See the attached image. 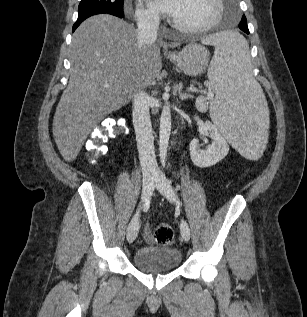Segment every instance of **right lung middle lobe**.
Here are the masks:
<instances>
[{"mask_svg":"<svg viewBox=\"0 0 307 317\" xmlns=\"http://www.w3.org/2000/svg\"><path fill=\"white\" fill-rule=\"evenodd\" d=\"M123 3L124 0H81L78 7V16L93 12H103L120 16L124 14Z\"/></svg>","mask_w":307,"mask_h":317,"instance_id":"dd1d6c3e","label":"right lung middle lobe"}]
</instances>
